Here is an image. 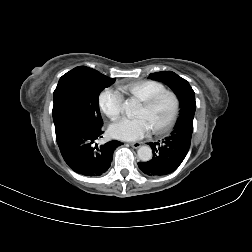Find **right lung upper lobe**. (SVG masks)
<instances>
[{
  "mask_svg": "<svg viewBox=\"0 0 252 252\" xmlns=\"http://www.w3.org/2000/svg\"><path fill=\"white\" fill-rule=\"evenodd\" d=\"M91 70H94V69H91V68L85 67V66H79V67H76L67 73L80 72V71H91Z\"/></svg>",
  "mask_w": 252,
  "mask_h": 252,
  "instance_id": "cb5924a9",
  "label": "right lung upper lobe"
}]
</instances>
